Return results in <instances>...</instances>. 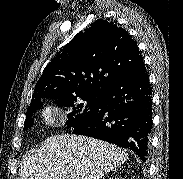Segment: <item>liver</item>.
I'll return each mask as SVG.
<instances>
[{"mask_svg": "<svg viewBox=\"0 0 183 179\" xmlns=\"http://www.w3.org/2000/svg\"><path fill=\"white\" fill-rule=\"evenodd\" d=\"M127 158L125 150L101 140L56 135L23 156L20 179H101Z\"/></svg>", "mask_w": 183, "mask_h": 179, "instance_id": "6515ba94", "label": "liver"}]
</instances>
